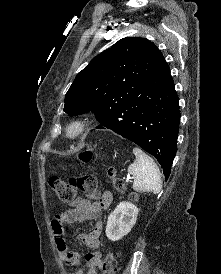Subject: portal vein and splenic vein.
Masks as SVG:
<instances>
[{"mask_svg":"<svg viewBox=\"0 0 221 274\" xmlns=\"http://www.w3.org/2000/svg\"><path fill=\"white\" fill-rule=\"evenodd\" d=\"M130 179H133V177H131L130 175H128L126 181H129Z\"/></svg>","mask_w":221,"mask_h":274,"instance_id":"obj_1","label":"portal vein and splenic vein"}]
</instances>
